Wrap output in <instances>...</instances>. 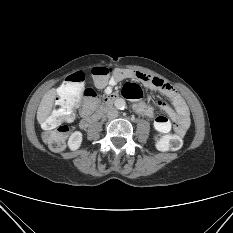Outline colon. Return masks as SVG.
<instances>
[{
	"instance_id": "1",
	"label": "colon",
	"mask_w": 233,
	"mask_h": 233,
	"mask_svg": "<svg viewBox=\"0 0 233 233\" xmlns=\"http://www.w3.org/2000/svg\"><path fill=\"white\" fill-rule=\"evenodd\" d=\"M113 70L109 67L98 66L91 70L93 84L97 88L104 87L110 79ZM85 75L75 72L69 75L58 90V98L50 115L43 122V139L53 151H60L65 147L69 127L64 123L73 116L81 95L91 105H95L97 94L92 88H84ZM129 85L124 87L125 92ZM182 146V139L178 135L162 136L157 141L158 149L162 151H176Z\"/></svg>"
}]
</instances>
